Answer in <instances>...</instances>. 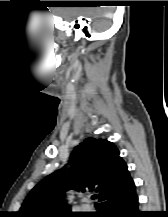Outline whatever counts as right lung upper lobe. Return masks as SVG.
<instances>
[{"label":"right lung upper lobe","instance_id":"obj_1","mask_svg":"<svg viewBox=\"0 0 168 217\" xmlns=\"http://www.w3.org/2000/svg\"><path fill=\"white\" fill-rule=\"evenodd\" d=\"M69 163L68 180L63 181L65 167L48 175L30 191L18 217L76 214L64 202L66 190L97 192L96 208L100 209L135 186L119 150L105 139L86 138L74 148Z\"/></svg>","mask_w":168,"mask_h":217}]
</instances>
